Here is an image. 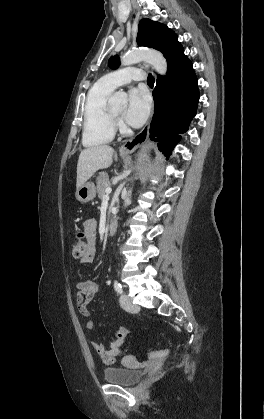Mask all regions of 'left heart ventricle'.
Here are the masks:
<instances>
[{
    "label": "left heart ventricle",
    "instance_id": "1",
    "mask_svg": "<svg viewBox=\"0 0 264 419\" xmlns=\"http://www.w3.org/2000/svg\"><path fill=\"white\" fill-rule=\"evenodd\" d=\"M113 111L117 114H121L124 111V107H122V106L115 107V108H113Z\"/></svg>",
    "mask_w": 264,
    "mask_h": 419
}]
</instances>
